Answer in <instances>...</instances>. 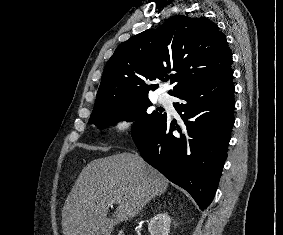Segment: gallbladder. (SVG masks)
I'll return each mask as SVG.
<instances>
[{
	"label": "gallbladder",
	"instance_id": "gallbladder-1",
	"mask_svg": "<svg viewBox=\"0 0 283 235\" xmlns=\"http://www.w3.org/2000/svg\"><path fill=\"white\" fill-rule=\"evenodd\" d=\"M108 220H109V219H108ZM115 224H116V223H114L113 226H114ZM113 226L111 227V230L113 229Z\"/></svg>",
	"mask_w": 283,
	"mask_h": 235
}]
</instances>
